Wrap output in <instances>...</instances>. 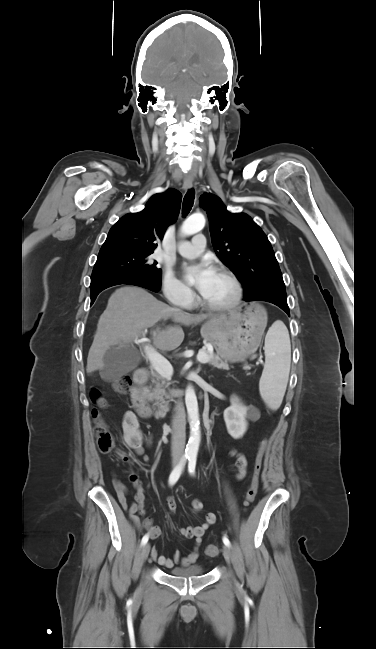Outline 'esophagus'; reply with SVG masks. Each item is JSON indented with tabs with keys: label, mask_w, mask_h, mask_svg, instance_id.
Masks as SVG:
<instances>
[{
	"label": "esophagus",
	"mask_w": 376,
	"mask_h": 649,
	"mask_svg": "<svg viewBox=\"0 0 376 649\" xmlns=\"http://www.w3.org/2000/svg\"><path fill=\"white\" fill-rule=\"evenodd\" d=\"M192 187H193L192 181H184V183H183V189L184 190L190 189Z\"/></svg>",
	"instance_id": "esophagus-1"
}]
</instances>
